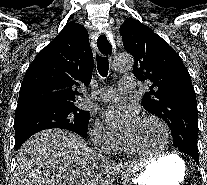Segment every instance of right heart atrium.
I'll return each mask as SVG.
<instances>
[{"mask_svg":"<svg viewBox=\"0 0 207 185\" xmlns=\"http://www.w3.org/2000/svg\"><path fill=\"white\" fill-rule=\"evenodd\" d=\"M91 137L93 144L103 151L111 150L119 141L118 135L100 121L94 124Z\"/></svg>","mask_w":207,"mask_h":185,"instance_id":"1","label":"right heart atrium"}]
</instances>
